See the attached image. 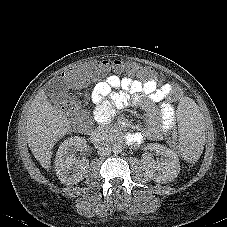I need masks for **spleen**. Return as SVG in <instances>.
<instances>
[{"mask_svg": "<svg viewBox=\"0 0 227 227\" xmlns=\"http://www.w3.org/2000/svg\"><path fill=\"white\" fill-rule=\"evenodd\" d=\"M176 127L180 153L187 160H195L202 153L203 122L195 101L184 99L177 106Z\"/></svg>", "mask_w": 227, "mask_h": 227, "instance_id": "3e777b00", "label": "spleen"}]
</instances>
